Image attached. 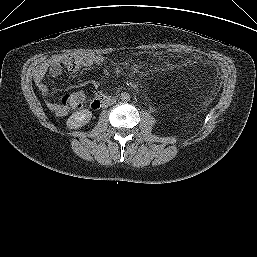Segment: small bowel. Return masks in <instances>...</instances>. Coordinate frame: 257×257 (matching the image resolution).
<instances>
[{
  "label": "small bowel",
  "instance_id": "c3829d8e",
  "mask_svg": "<svg viewBox=\"0 0 257 257\" xmlns=\"http://www.w3.org/2000/svg\"><path fill=\"white\" fill-rule=\"evenodd\" d=\"M105 58L102 55L94 54H77V55H57L43 61L34 73V81L42 94L46 97V104L56 116H64L68 112V108L64 105L54 103L48 98L49 90L45 85V77L48 74L56 77L61 74L63 67L69 72H77L81 68L92 66H103Z\"/></svg>",
  "mask_w": 257,
  "mask_h": 257
}]
</instances>
